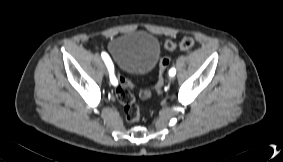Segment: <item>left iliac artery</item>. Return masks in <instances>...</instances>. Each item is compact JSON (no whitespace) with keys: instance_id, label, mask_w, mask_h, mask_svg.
Returning <instances> with one entry per match:
<instances>
[{"instance_id":"44dca946","label":"left iliac artery","mask_w":283,"mask_h":162,"mask_svg":"<svg viewBox=\"0 0 283 162\" xmlns=\"http://www.w3.org/2000/svg\"><path fill=\"white\" fill-rule=\"evenodd\" d=\"M176 74V69L175 68H171L169 71V75L170 76H174Z\"/></svg>"}]
</instances>
